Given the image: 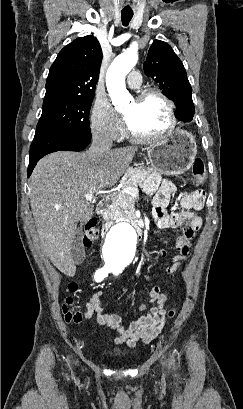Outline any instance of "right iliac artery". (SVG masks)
Instances as JSON below:
<instances>
[{
    "label": "right iliac artery",
    "mask_w": 243,
    "mask_h": 409,
    "mask_svg": "<svg viewBox=\"0 0 243 409\" xmlns=\"http://www.w3.org/2000/svg\"><path fill=\"white\" fill-rule=\"evenodd\" d=\"M109 272H111V271L108 268L98 269L94 274V278H95L96 282L102 281L108 275Z\"/></svg>",
    "instance_id": "1"
}]
</instances>
